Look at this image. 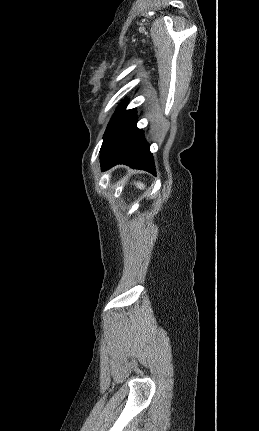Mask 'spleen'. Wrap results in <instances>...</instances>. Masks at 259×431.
<instances>
[{
  "label": "spleen",
  "mask_w": 259,
  "mask_h": 431,
  "mask_svg": "<svg viewBox=\"0 0 259 431\" xmlns=\"http://www.w3.org/2000/svg\"><path fill=\"white\" fill-rule=\"evenodd\" d=\"M134 184L140 190H144L145 189V184H143L142 182H134Z\"/></svg>",
  "instance_id": "1"
}]
</instances>
